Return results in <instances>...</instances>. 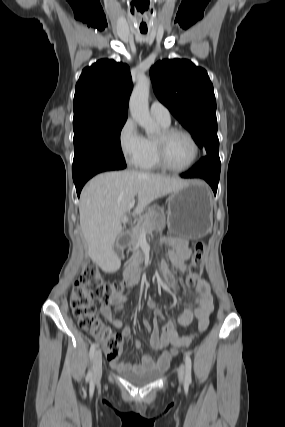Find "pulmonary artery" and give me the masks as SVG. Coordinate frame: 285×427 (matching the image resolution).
Returning a JSON list of instances; mask_svg holds the SVG:
<instances>
[{
	"label": "pulmonary artery",
	"instance_id": "1",
	"mask_svg": "<svg viewBox=\"0 0 285 427\" xmlns=\"http://www.w3.org/2000/svg\"><path fill=\"white\" fill-rule=\"evenodd\" d=\"M151 115L159 122L170 124L171 114L168 108L159 101H153L150 106Z\"/></svg>",
	"mask_w": 285,
	"mask_h": 427
}]
</instances>
